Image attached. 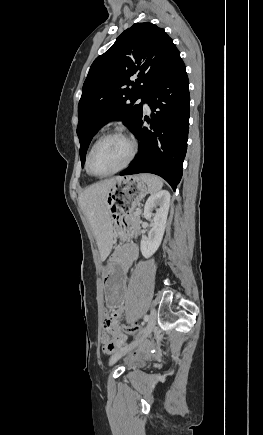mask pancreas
I'll return each mask as SVG.
<instances>
[{
  "label": "pancreas",
  "instance_id": "cf45deb5",
  "mask_svg": "<svg viewBox=\"0 0 263 435\" xmlns=\"http://www.w3.org/2000/svg\"><path fill=\"white\" fill-rule=\"evenodd\" d=\"M139 224H140V218L139 214H136L135 212H130L127 219V232L128 234H139Z\"/></svg>",
  "mask_w": 263,
  "mask_h": 435
}]
</instances>
